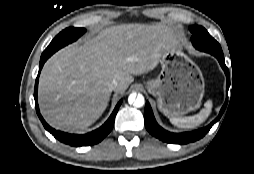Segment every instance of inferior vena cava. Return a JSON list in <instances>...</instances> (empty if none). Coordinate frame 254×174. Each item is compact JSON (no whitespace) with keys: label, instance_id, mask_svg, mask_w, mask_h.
Segmentation results:
<instances>
[{"label":"inferior vena cava","instance_id":"602c4592","mask_svg":"<svg viewBox=\"0 0 254 174\" xmlns=\"http://www.w3.org/2000/svg\"><path fill=\"white\" fill-rule=\"evenodd\" d=\"M118 86H119V82L117 80L113 79L112 82L109 85V88L111 90L115 91L118 88Z\"/></svg>","mask_w":254,"mask_h":174}]
</instances>
